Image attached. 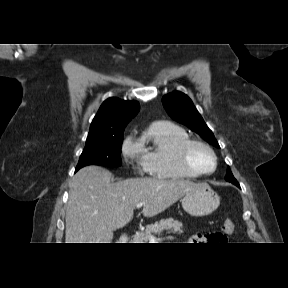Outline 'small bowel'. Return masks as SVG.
I'll list each match as a JSON object with an SVG mask.
<instances>
[{"label":"small bowel","mask_w":288,"mask_h":288,"mask_svg":"<svg viewBox=\"0 0 288 288\" xmlns=\"http://www.w3.org/2000/svg\"><path fill=\"white\" fill-rule=\"evenodd\" d=\"M192 243H209L215 241V233H211L209 235H195L191 238Z\"/></svg>","instance_id":"c3829d8e"}]
</instances>
